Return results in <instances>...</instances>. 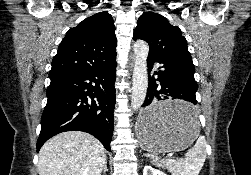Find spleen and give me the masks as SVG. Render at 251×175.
I'll use <instances>...</instances> for the list:
<instances>
[{"mask_svg": "<svg viewBox=\"0 0 251 175\" xmlns=\"http://www.w3.org/2000/svg\"><path fill=\"white\" fill-rule=\"evenodd\" d=\"M194 115L192 109L186 111V121H193ZM206 145L207 141L204 135H199L195 145L188 149L185 159H179V161L165 159L164 163L172 175H198L206 159Z\"/></svg>", "mask_w": 251, "mask_h": 175, "instance_id": "obj_1", "label": "spleen"}]
</instances>
